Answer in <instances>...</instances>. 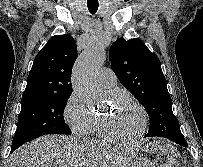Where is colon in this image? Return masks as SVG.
I'll return each instance as SVG.
<instances>
[{"instance_id": "obj_1", "label": "colon", "mask_w": 203, "mask_h": 167, "mask_svg": "<svg viewBox=\"0 0 203 167\" xmlns=\"http://www.w3.org/2000/svg\"><path fill=\"white\" fill-rule=\"evenodd\" d=\"M157 167H181V165L171 157L161 154L157 157Z\"/></svg>"}]
</instances>
